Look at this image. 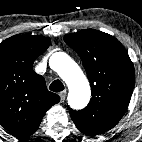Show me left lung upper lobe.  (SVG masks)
<instances>
[{"label":"left lung upper lobe","instance_id":"5c2ea615","mask_svg":"<svg viewBox=\"0 0 142 142\" xmlns=\"http://www.w3.org/2000/svg\"><path fill=\"white\" fill-rule=\"evenodd\" d=\"M64 41L78 53L86 70L92 98L82 110H70L78 130L86 135L104 133L125 114L135 82V70L123 45L94 29L67 34Z\"/></svg>","mask_w":142,"mask_h":142}]
</instances>
